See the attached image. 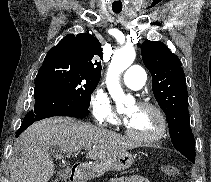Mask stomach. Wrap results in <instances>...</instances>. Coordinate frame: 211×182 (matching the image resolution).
Listing matches in <instances>:
<instances>
[{
	"mask_svg": "<svg viewBox=\"0 0 211 182\" xmlns=\"http://www.w3.org/2000/svg\"><path fill=\"white\" fill-rule=\"evenodd\" d=\"M133 162V155L125 151L109 159L96 161L86 171L79 173L77 177L80 180L79 182H84V180L90 178L100 177L108 171H124L130 168Z\"/></svg>",
	"mask_w": 211,
	"mask_h": 182,
	"instance_id": "stomach-1",
	"label": "stomach"
}]
</instances>
